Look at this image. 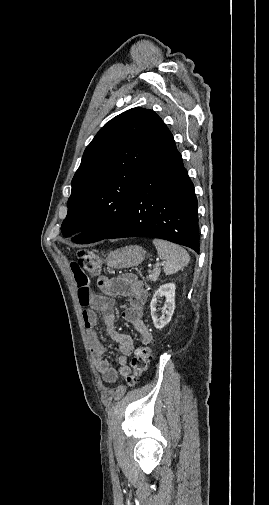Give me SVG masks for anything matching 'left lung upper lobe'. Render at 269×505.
I'll use <instances>...</instances> for the list:
<instances>
[{
  "instance_id": "1",
  "label": "left lung upper lobe",
  "mask_w": 269,
  "mask_h": 505,
  "mask_svg": "<svg viewBox=\"0 0 269 505\" xmlns=\"http://www.w3.org/2000/svg\"><path fill=\"white\" fill-rule=\"evenodd\" d=\"M162 124L154 111L133 108L101 128L72 179L63 236L82 231L72 241L86 244L113 231L127 210Z\"/></svg>"
}]
</instances>
